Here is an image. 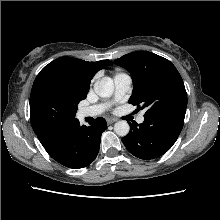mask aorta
<instances>
[{
	"mask_svg": "<svg viewBox=\"0 0 220 220\" xmlns=\"http://www.w3.org/2000/svg\"><path fill=\"white\" fill-rule=\"evenodd\" d=\"M94 91L98 96L107 98L112 96L114 85L112 82L106 80L96 81L94 84ZM114 131L117 135L123 137L128 135L130 131V126L126 121L121 120L114 124Z\"/></svg>",
	"mask_w": 220,
	"mask_h": 220,
	"instance_id": "aorta-1",
	"label": "aorta"
}]
</instances>
